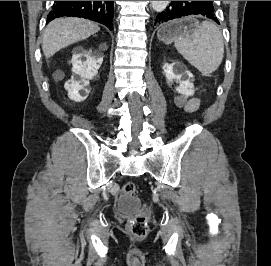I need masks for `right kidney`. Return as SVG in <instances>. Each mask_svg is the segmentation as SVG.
Instances as JSON below:
<instances>
[{"label":"right kidney","mask_w":271,"mask_h":266,"mask_svg":"<svg viewBox=\"0 0 271 266\" xmlns=\"http://www.w3.org/2000/svg\"><path fill=\"white\" fill-rule=\"evenodd\" d=\"M102 62L103 58L94 56L92 52L73 55V76L64 85L71 100L81 102L88 97L89 90L87 87L89 81L96 76Z\"/></svg>","instance_id":"1"}]
</instances>
